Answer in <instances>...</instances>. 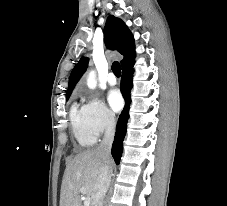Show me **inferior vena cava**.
Returning <instances> with one entry per match:
<instances>
[{
    "instance_id": "inferior-vena-cava-1",
    "label": "inferior vena cava",
    "mask_w": 227,
    "mask_h": 206,
    "mask_svg": "<svg viewBox=\"0 0 227 206\" xmlns=\"http://www.w3.org/2000/svg\"><path fill=\"white\" fill-rule=\"evenodd\" d=\"M115 133V117L110 114L106 123V130L102 142L97 150L103 155L105 165L101 169L95 186V192L93 195V206H103V200L111 182L112 170L108 166V160L110 158L111 147L114 140Z\"/></svg>"
}]
</instances>
